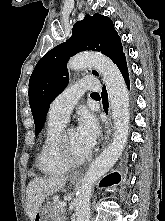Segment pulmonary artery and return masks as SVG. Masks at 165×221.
Here are the masks:
<instances>
[{
  "label": "pulmonary artery",
  "mask_w": 165,
  "mask_h": 221,
  "mask_svg": "<svg viewBox=\"0 0 165 221\" xmlns=\"http://www.w3.org/2000/svg\"><path fill=\"white\" fill-rule=\"evenodd\" d=\"M98 89V81L93 77H86L70 84L52 102L48 113L49 119L66 123L82 94L85 91H95Z\"/></svg>",
  "instance_id": "1"
}]
</instances>
